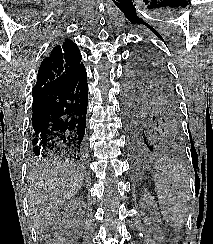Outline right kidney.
<instances>
[{"label":"right kidney","instance_id":"ca27d5eb","mask_svg":"<svg viewBox=\"0 0 213 244\" xmlns=\"http://www.w3.org/2000/svg\"><path fill=\"white\" fill-rule=\"evenodd\" d=\"M85 206V203L83 201V198L76 197L71 199L68 203H66V209H83Z\"/></svg>","mask_w":213,"mask_h":244}]
</instances>
